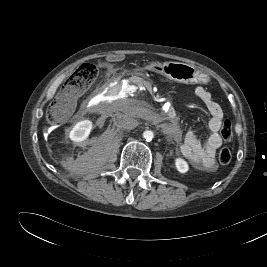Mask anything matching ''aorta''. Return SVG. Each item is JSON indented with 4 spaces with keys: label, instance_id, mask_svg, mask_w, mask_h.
<instances>
[{
    "label": "aorta",
    "instance_id": "aorta-1",
    "mask_svg": "<svg viewBox=\"0 0 267 267\" xmlns=\"http://www.w3.org/2000/svg\"><path fill=\"white\" fill-rule=\"evenodd\" d=\"M143 138L150 142L154 138V133L151 130H146L143 132Z\"/></svg>",
    "mask_w": 267,
    "mask_h": 267
}]
</instances>
